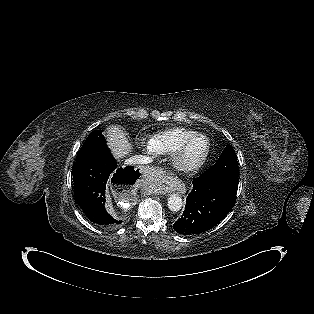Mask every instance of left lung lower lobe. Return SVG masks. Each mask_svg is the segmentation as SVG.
<instances>
[{
    "label": "left lung lower lobe",
    "mask_w": 314,
    "mask_h": 314,
    "mask_svg": "<svg viewBox=\"0 0 314 314\" xmlns=\"http://www.w3.org/2000/svg\"><path fill=\"white\" fill-rule=\"evenodd\" d=\"M238 182V176L194 178L183 215L173 229L181 235H192L213 228L235 205Z\"/></svg>",
    "instance_id": "0a47b994"
}]
</instances>
